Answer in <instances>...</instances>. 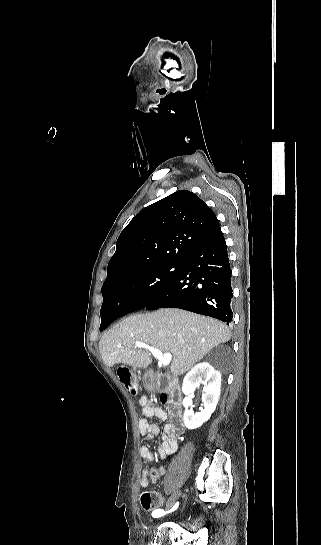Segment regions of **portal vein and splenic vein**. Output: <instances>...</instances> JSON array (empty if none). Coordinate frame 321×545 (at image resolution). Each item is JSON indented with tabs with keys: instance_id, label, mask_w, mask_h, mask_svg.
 <instances>
[{
	"instance_id": "portal-vein-and-splenic-vein-1",
	"label": "portal vein and splenic vein",
	"mask_w": 321,
	"mask_h": 545,
	"mask_svg": "<svg viewBox=\"0 0 321 545\" xmlns=\"http://www.w3.org/2000/svg\"><path fill=\"white\" fill-rule=\"evenodd\" d=\"M135 347H138V349H148V351L152 353L153 357L158 359V361H160L164 367H167L172 359L171 353H161V351H158V349H155V347H150V345L141 343V341H136Z\"/></svg>"
}]
</instances>
